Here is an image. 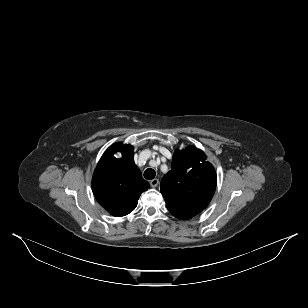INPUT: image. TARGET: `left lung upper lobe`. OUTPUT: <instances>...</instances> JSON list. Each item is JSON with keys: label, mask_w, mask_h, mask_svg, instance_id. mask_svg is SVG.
<instances>
[{"label": "left lung upper lobe", "mask_w": 308, "mask_h": 308, "mask_svg": "<svg viewBox=\"0 0 308 308\" xmlns=\"http://www.w3.org/2000/svg\"><path fill=\"white\" fill-rule=\"evenodd\" d=\"M216 173L203 151L194 146L176 150L171 170L164 175L160 191L169 212L187 220L204 210L216 188Z\"/></svg>", "instance_id": "1"}]
</instances>
